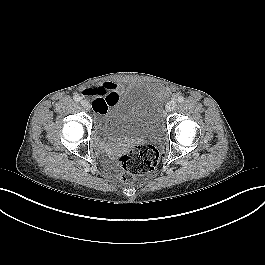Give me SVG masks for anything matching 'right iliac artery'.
<instances>
[{"mask_svg":"<svg viewBox=\"0 0 265 265\" xmlns=\"http://www.w3.org/2000/svg\"><path fill=\"white\" fill-rule=\"evenodd\" d=\"M73 99L76 101V102H79L81 100V97L79 95H75L73 97Z\"/></svg>","mask_w":265,"mask_h":265,"instance_id":"82829eb1","label":"right iliac artery"}]
</instances>
